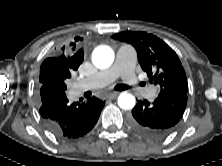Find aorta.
Instances as JSON below:
<instances>
[{
  "label": "aorta",
  "mask_w": 222,
  "mask_h": 166,
  "mask_svg": "<svg viewBox=\"0 0 222 166\" xmlns=\"http://www.w3.org/2000/svg\"><path fill=\"white\" fill-rule=\"evenodd\" d=\"M114 51L106 45L98 46L92 54L93 64L100 69L108 68L114 61ZM136 104V99L132 94L121 93L118 97V105L121 109H132Z\"/></svg>",
  "instance_id": "obj_1"
}]
</instances>
